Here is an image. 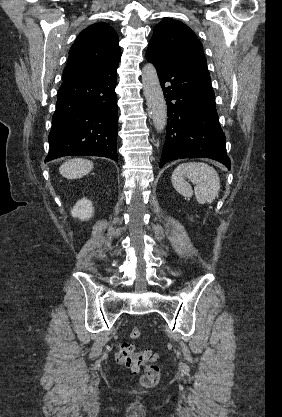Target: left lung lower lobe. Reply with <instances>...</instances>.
<instances>
[{
	"label": "left lung lower lobe",
	"instance_id": "1",
	"mask_svg": "<svg viewBox=\"0 0 282 417\" xmlns=\"http://www.w3.org/2000/svg\"><path fill=\"white\" fill-rule=\"evenodd\" d=\"M146 58L156 67L168 107L160 168L180 158L206 157L230 169L206 60L170 55L151 46Z\"/></svg>",
	"mask_w": 282,
	"mask_h": 417
}]
</instances>
